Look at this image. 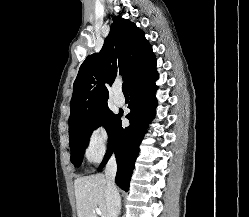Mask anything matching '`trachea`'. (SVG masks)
Returning a JSON list of instances; mask_svg holds the SVG:
<instances>
[{
    "instance_id": "obj_1",
    "label": "trachea",
    "mask_w": 249,
    "mask_h": 217,
    "mask_svg": "<svg viewBox=\"0 0 249 217\" xmlns=\"http://www.w3.org/2000/svg\"><path fill=\"white\" fill-rule=\"evenodd\" d=\"M122 91H123L124 94H128V88H127V83L126 82H124L122 84Z\"/></svg>"
}]
</instances>
